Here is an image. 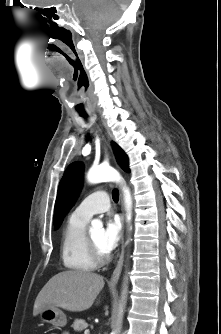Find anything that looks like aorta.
Segmentation results:
<instances>
[{
  "mask_svg": "<svg viewBox=\"0 0 221 334\" xmlns=\"http://www.w3.org/2000/svg\"><path fill=\"white\" fill-rule=\"evenodd\" d=\"M87 179L89 183L96 184L101 182H120L121 176L120 174L112 167L109 166H97L92 167L88 174ZM123 193H124V202H125V208H126V216L127 220L129 221L131 219V210H132V198L130 194V190L127 187H123ZM91 229H101L103 227L102 221L95 219L91 222ZM126 291H123V294H125ZM125 296L123 297V299ZM114 332L113 334H115Z\"/></svg>",
  "mask_w": 221,
  "mask_h": 334,
  "instance_id": "762f6f07",
  "label": "aorta"
}]
</instances>
